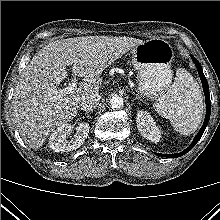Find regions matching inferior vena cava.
Wrapping results in <instances>:
<instances>
[{"label":"inferior vena cava","instance_id":"602c4592","mask_svg":"<svg viewBox=\"0 0 220 220\" xmlns=\"http://www.w3.org/2000/svg\"><path fill=\"white\" fill-rule=\"evenodd\" d=\"M101 96L98 93L90 94L82 98L79 106L83 111H93L99 104Z\"/></svg>","mask_w":220,"mask_h":220}]
</instances>
